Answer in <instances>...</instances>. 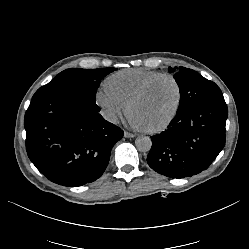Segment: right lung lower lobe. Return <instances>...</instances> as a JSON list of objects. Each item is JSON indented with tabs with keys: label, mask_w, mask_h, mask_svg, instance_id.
Instances as JSON below:
<instances>
[{
	"label": "right lung lower lobe",
	"mask_w": 249,
	"mask_h": 249,
	"mask_svg": "<svg viewBox=\"0 0 249 249\" xmlns=\"http://www.w3.org/2000/svg\"><path fill=\"white\" fill-rule=\"evenodd\" d=\"M100 108L74 94L33 99L25 113L26 150L54 183L75 187L98 179L123 131Z\"/></svg>",
	"instance_id": "1"
}]
</instances>
